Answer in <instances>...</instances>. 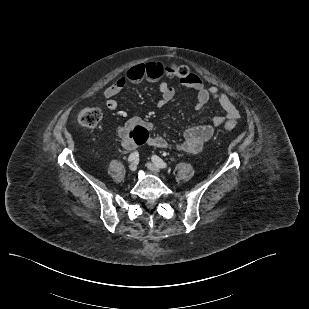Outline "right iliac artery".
I'll return each instance as SVG.
<instances>
[{
	"label": "right iliac artery",
	"mask_w": 309,
	"mask_h": 309,
	"mask_svg": "<svg viewBox=\"0 0 309 309\" xmlns=\"http://www.w3.org/2000/svg\"><path fill=\"white\" fill-rule=\"evenodd\" d=\"M138 158H139V153L135 151L129 155L128 162L136 161Z\"/></svg>",
	"instance_id": "1"
}]
</instances>
